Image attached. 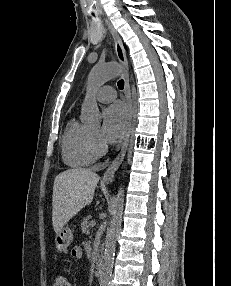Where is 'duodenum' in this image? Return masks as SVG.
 Returning a JSON list of instances; mask_svg holds the SVG:
<instances>
[{
    "label": "duodenum",
    "mask_w": 231,
    "mask_h": 286,
    "mask_svg": "<svg viewBox=\"0 0 231 286\" xmlns=\"http://www.w3.org/2000/svg\"><path fill=\"white\" fill-rule=\"evenodd\" d=\"M102 268H103V261H102V259H98L96 262V265H95V270H94L96 277L101 276Z\"/></svg>",
    "instance_id": "1"
}]
</instances>
